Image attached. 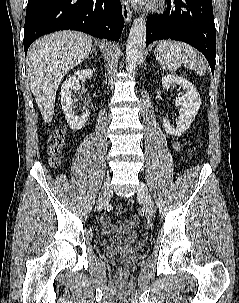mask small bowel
Segmentation results:
<instances>
[{"instance_id":"c3829d8e","label":"small bowel","mask_w":239,"mask_h":303,"mask_svg":"<svg viewBox=\"0 0 239 303\" xmlns=\"http://www.w3.org/2000/svg\"><path fill=\"white\" fill-rule=\"evenodd\" d=\"M173 146L176 150L181 149V145L177 142H175ZM135 219H139V218L137 216H133L129 220L121 221L119 223L114 224L110 221L109 217L105 215L101 217L100 222L104 233L111 234L116 231L133 229L135 226L139 224L134 222Z\"/></svg>"}]
</instances>
